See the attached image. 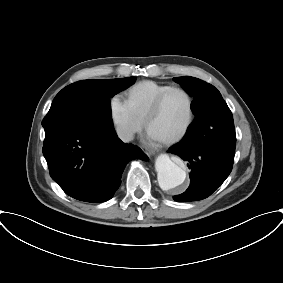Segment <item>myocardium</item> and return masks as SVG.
<instances>
[{"mask_svg": "<svg viewBox=\"0 0 283 283\" xmlns=\"http://www.w3.org/2000/svg\"><path fill=\"white\" fill-rule=\"evenodd\" d=\"M173 91L182 92L186 96L187 101H188V116H187L185 124L179 130V132H177L175 135H173L170 138L160 140L164 144H173L181 140L188 132L194 120V98L192 94L186 88L182 86H170L158 95V97L153 102L151 108L149 109L144 119L145 130L148 132L149 123L160 111L165 98L168 96V94H170Z\"/></svg>", "mask_w": 283, "mask_h": 283, "instance_id": "1", "label": "myocardium"}]
</instances>
